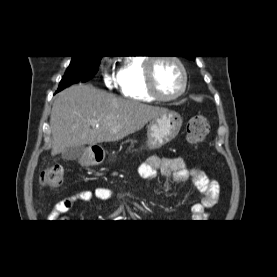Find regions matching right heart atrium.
<instances>
[{"mask_svg":"<svg viewBox=\"0 0 277 277\" xmlns=\"http://www.w3.org/2000/svg\"><path fill=\"white\" fill-rule=\"evenodd\" d=\"M104 85L108 88H112L118 84V77L113 73H109L106 69L102 74Z\"/></svg>","mask_w":277,"mask_h":277,"instance_id":"obj_1","label":"right heart atrium"}]
</instances>
